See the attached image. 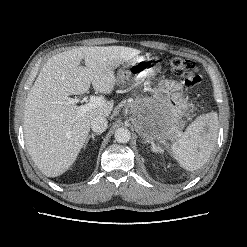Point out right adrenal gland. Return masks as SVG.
Segmentation results:
<instances>
[{"instance_id": "right-adrenal-gland-1", "label": "right adrenal gland", "mask_w": 247, "mask_h": 247, "mask_svg": "<svg viewBox=\"0 0 247 247\" xmlns=\"http://www.w3.org/2000/svg\"><path fill=\"white\" fill-rule=\"evenodd\" d=\"M96 135H100V133H91V135H89L88 137H87V139H86V142H85V144H84V149H86V147H87V144H88V142H89V140L92 138V140H95V136Z\"/></svg>"}]
</instances>
